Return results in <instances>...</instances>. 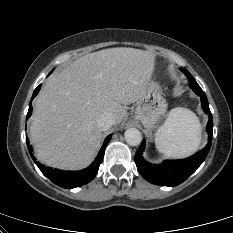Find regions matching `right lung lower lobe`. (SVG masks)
Listing matches in <instances>:
<instances>
[{"mask_svg": "<svg viewBox=\"0 0 233 233\" xmlns=\"http://www.w3.org/2000/svg\"><path fill=\"white\" fill-rule=\"evenodd\" d=\"M41 88V85H39L34 93H33V97H35L39 90ZM32 97V98H33ZM32 113V105L31 102L29 104V110L27 113V118H29L31 116ZM111 138V135L107 136L102 148L99 151L98 156L96 157V159L94 160V162L87 167L84 170L81 171H75V172H71V171H61V170H57V169H51L48 167H44L43 165H41L40 163L36 162L37 166L39 167V169L41 170V172L48 177L54 184L62 187V188H75V187H79L82 185H85L87 183H89L97 174L99 166L103 160L104 157V152H105V148L107 143L109 142ZM26 143L27 145H29V141L26 138ZM29 152L30 155L32 157V159H34L33 154L31 153V148L29 147ZM35 160V159H34Z\"/></svg>", "mask_w": 233, "mask_h": 233, "instance_id": "98d812e1", "label": "right lung lower lobe"}]
</instances>
